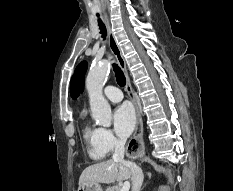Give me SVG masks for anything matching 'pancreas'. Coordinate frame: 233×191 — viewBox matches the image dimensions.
Masks as SVG:
<instances>
[{
	"mask_svg": "<svg viewBox=\"0 0 233 191\" xmlns=\"http://www.w3.org/2000/svg\"><path fill=\"white\" fill-rule=\"evenodd\" d=\"M120 190H121L120 186H112V187L107 188L106 191H120Z\"/></svg>",
	"mask_w": 233,
	"mask_h": 191,
	"instance_id": "cf45deb5",
	"label": "pancreas"
}]
</instances>
